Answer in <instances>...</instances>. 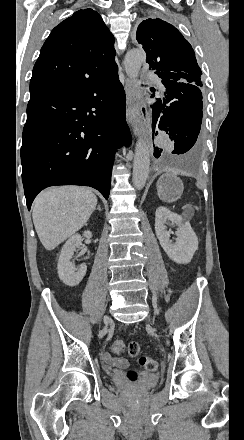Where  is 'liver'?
<instances>
[{
	"mask_svg": "<svg viewBox=\"0 0 244 440\" xmlns=\"http://www.w3.org/2000/svg\"><path fill=\"white\" fill-rule=\"evenodd\" d=\"M97 204L89 188L61 186L48 188L35 198L33 224L45 250H54L61 242L78 232Z\"/></svg>",
	"mask_w": 244,
	"mask_h": 440,
	"instance_id": "6515ba94",
	"label": "liver"
}]
</instances>
